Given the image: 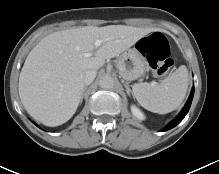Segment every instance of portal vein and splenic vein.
<instances>
[{"label": "portal vein and splenic vein", "mask_w": 219, "mask_h": 174, "mask_svg": "<svg viewBox=\"0 0 219 174\" xmlns=\"http://www.w3.org/2000/svg\"><path fill=\"white\" fill-rule=\"evenodd\" d=\"M95 47H99L102 44V40H96L95 41ZM92 56V52H88L84 54V57H91Z\"/></svg>", "instance_id": "18ae733b"}]
</instances>
